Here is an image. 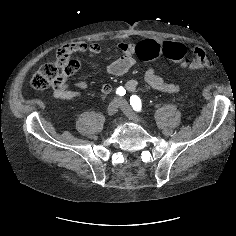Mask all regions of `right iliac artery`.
<instances>
[{
  "label": "right iliac artery",
  "mask_w": 236,
  "mask_h": 236,
  "mask_svg": "<svg viewBox=\"0 0 236 236\" xmlns=\"http://www.w3.org/2000/svg\"><path fill=\"white\" fill-rule=\"evenodd\" d=\"M116 94L119 96H124L126 94V90L122 86H120L117 88Z\"/></svg>",
  "instance_id": "82829eb1"
}]
</instances>
